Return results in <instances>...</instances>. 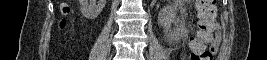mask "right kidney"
Returning <instances> with one entry per match:
<instances>
[{"label": "right kidney", "mask_w": 267, "mask_h": 60, "mask_svg": "<svg viewBox=\"0 0 267 60\" xmlns=\"http://www.w3.org/2000/svg\"><path fill=\"white\" fill-rule=\"evenodd\" d=\"M82 15L90 20L95 19L103 10L106 0H79Z\"/></svg>", "instance_id": "1"}]
</instances>
